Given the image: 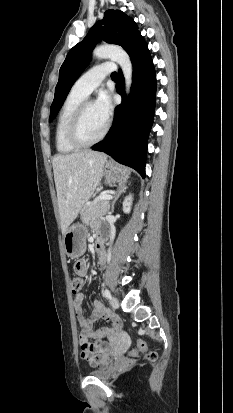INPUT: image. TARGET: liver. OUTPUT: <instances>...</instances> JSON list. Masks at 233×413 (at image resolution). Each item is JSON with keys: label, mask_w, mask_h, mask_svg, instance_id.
<instances>
[{"label": "liver", "mask_w": 233, "mask_h": 413, "mask_svg": "<svg viewBox=\"0 0 233 413\" xmlns=\"http://www.w3.org/2000/svg\"><path fill=\"white\" fill-rule=\"evenodd\" d=\"M107 156L86 150L53 158L61 230L65 234L103 177Z\"/></svg>", "instance_id": "obj_1"}]
</instances>
